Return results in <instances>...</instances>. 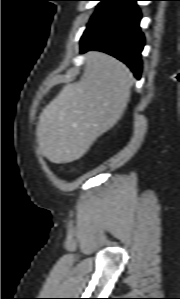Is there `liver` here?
<instances>
[{
    "mask_svg": "<svg viewBox=\"0 0 180 299\" xmlns=\"http://www.w3.org/2000/svg\"><path fill=\"white\" fill-rule=\"evenodd\" d=\"M86 58L80 80L65 85L39 116L37 142L52 163L83 157L120 120L130 100L132 74L123 63L101 52Z\"/></svg>",
    "mask_w": 180,
    "mask_h": 299,
    "instance_id": "liver-1",
    "label": "liver"
}]
</instances>
